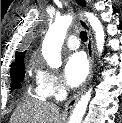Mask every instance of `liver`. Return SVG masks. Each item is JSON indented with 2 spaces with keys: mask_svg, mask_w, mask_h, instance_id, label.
<instances>
[{
  "mask_svg": "<svg viewBox=\"0 0 122 123\" xmlns=\"http://www.w3.org/2000/svg\"><path fill=\"white\" fill-rule=\"evenodd\" d=\"M56 104L41 100H27L13 113L10 123H63Z\"/></svg>",
  "mask_w": 122,
  "mask_h": 123,
  "instance_id": "liver-1",
  "label": "liver"
}]
</instances>
